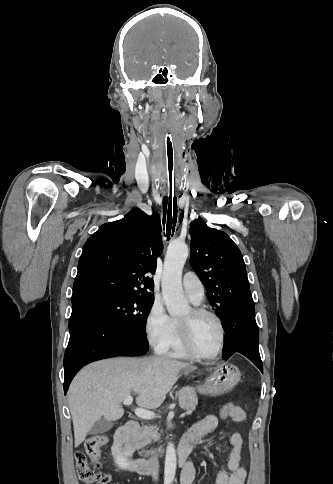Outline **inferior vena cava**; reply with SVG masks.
I'll return each instance as SVG.
<instances>
[{"mask_svg": "<svg viewBox=\"0 0 333 484\" xmlns=\"http://www.w3.org/2000/svg\"><path fill=\"white\" fill-rule=\"evenodd\" d=\"M153 454L154 455L151 458V463L153 465L152 478H153V480L157 481L158 477H159V474H158L159 462H158V459L156 457L155 451H153Z\"/></svg>", "mask_w": 333, "mask_h": 484, "instance_id": "602c4592", "label": "inferior vena cava"}]
</instances>
